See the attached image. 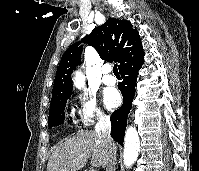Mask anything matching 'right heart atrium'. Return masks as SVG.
<instances>
[{"instance_id": "1", "label": "right heart atrium", "mask_w": 199, "mask_h": 171, "mask_svg": "<svg viewBox=\"0 0 199 171\" xmlns=\"http://www.w3.org/2000/svg\"><path fill=\"white\" fill-rule=\"evenodd\" d=\"M77 110L80 123L82 127L85 128L106 119V116L99 107L96 98L87 92L81 93L78 96Z\"/></svg>"}]
</instances>
